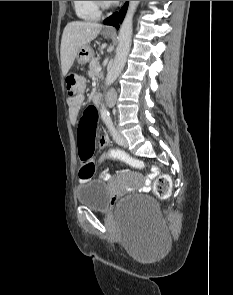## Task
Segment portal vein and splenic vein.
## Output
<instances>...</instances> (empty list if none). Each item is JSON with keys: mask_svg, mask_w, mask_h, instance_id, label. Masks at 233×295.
I'll return each mask as SVG.
<instances>
[{"mask_svg": "<svg viewBox=\"0 0 233 295\" xmlns=\"http://www.w3.org/2000/svg\"><path fill=\"white\" fill-rule=\"evenodd\" d=\"M101 69H102V68L99 66V67L96 69V71H97V72H100Z\"/></svg>", "mask_w": 233, "mask_h": 295, "instance_id": "18ae733b", "label": "portal vein and splenic vein"}]
</instances>
